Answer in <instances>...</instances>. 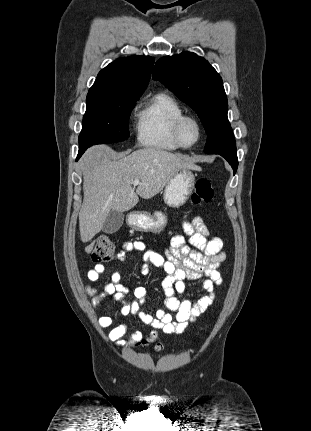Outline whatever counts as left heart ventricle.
I'll return each instance as SVG.
<instances>
[{
	"instance_id": "1",
	"label": "left heart ventricle",
	"mask_w": 311,
	"mask_h": 431,
	"mask_svg": "<svg viewBox=\"0 0 311 431\" xmlns=\"http://www.w3.org/2000/svg\"><path fill=\"white\" fill-rule=\"evenodd\" d=\"M182 135L187 143H194L200 135L197 122L194 119H188L182 126Z\"/></svg>"
}]
</instances>
